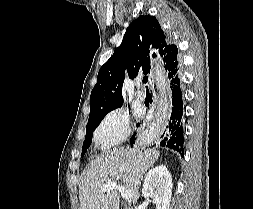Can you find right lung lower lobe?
<instances>
[{"mask_svg":"<svg viewBox=\"0 0 253 209\" xmlns=\"http://www.w3.org/2000/svg\"><path fill=\"white\" fill-rule=\"evenodd\" d=\"M170 96H171V109L169 115L164 123L161 125L157 132L156 139L159 141L160 146L169 147L184 156V131H183V100L180 86V78L178 70L168 75ZM135 135L130 139V144H135Z\"/></svg>","mask_w":253,"mask_h":209,"instance_id":"1","label":"right lung lower lobe"}]
</instances>
